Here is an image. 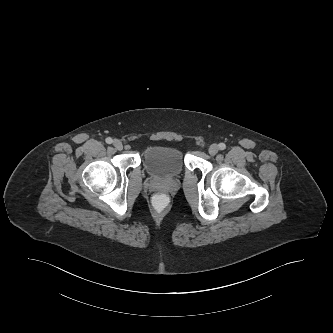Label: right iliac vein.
I'll use <instances>...</instances> for the list:
<instances>
[{
  "label": "right iliac vein",
  "mask_w": 333,
  "mask_h": 333,
  "mask_svg": "<svg viewBox=\"0 0 333 333\" xmlns=\"http://www.w3.org/2000/svg\"><path fill=\"white\" fill-rule=\"evenodd\" d=\"M113 146H114L117 150H122V148H123V144H122V142H121L120 140H118V139H115V140L113 141Z\"/></svg>",
  "instance_id": "right-iliac-vein-1"
}]
</instances>
